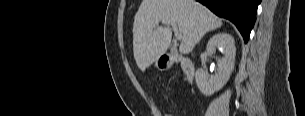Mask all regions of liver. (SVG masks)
<instances>
[{"label":"liver","instance_id":"6515ba94","mask_svg":"<svg viewBox=\"0 0 305 116\" xmlns=\"http://www.w3.org/2000/svg\"><path fill=\"white\" fill-rule=\"evenodd\" d=\"M163 20L178 25L182 54H189L207 32L222 26L219 17L195 0H143L133 24V53L142 72L170 46L172 32L159 26Z\"/></svg>","mask_w":305,"mask_h":116}]
</instances>
